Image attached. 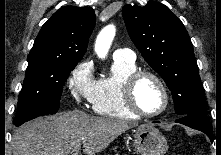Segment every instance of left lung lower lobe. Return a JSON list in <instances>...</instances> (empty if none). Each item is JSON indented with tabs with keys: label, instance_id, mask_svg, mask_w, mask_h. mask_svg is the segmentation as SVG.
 I'll return each instance as SVG.
<instances>
[{
	"label": "left lung lower lobe",
	"instance_id": "left-lung-lower-lobe-1",
	"mask_svg": "<svg viewBox=\"0 0 221 155\" xmlns=\"http://www.w3.org/2000/svg\"><path fill=\"white\" fill-rule=\"evenodd\" d=\"M175 122L184 124L193 129L200 130L209 136L210 140L213 142V129L209 122L207 115L204 114H189L182 116Z\"/></svg>",
	"mask_w": 221,
	"mask_h": 155
}]
</instances>
